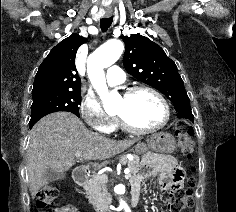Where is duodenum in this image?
<instances>
[{
  "label": "duodenum",
  "mask_w": 236,
  "mask_h": 212,
  "mask_svg": "<svg viewBox=\"0 0 236 212\" xmlns=\"http://www.w3.org/2000/svg\"><path fill=\"white\" fill-rule=\"evenodd\" d=\"M73 179L74 182L80 186L85 187L87 185L88 177H87V171L84 167H77L73 171ZM139 201V190H132L130 195V203L132 205L137 204ZM101 212H110L108 208H104L100 210Z\"/></svg>",
  "instance_id": "410a0bca"
}]
</instances>
